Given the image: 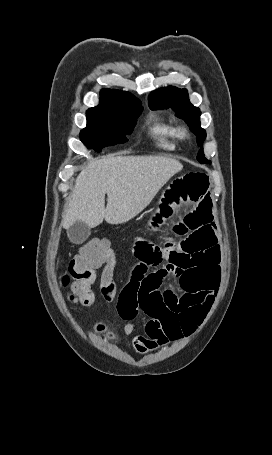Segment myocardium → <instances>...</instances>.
<instances>
[{
	"label": "myocardium",
	"instance_id": "myocardium-1",
	"mask_svg": "<svg viewBox=\"0 0 272 455\" xmlns=\"http://www.w3.org/2000/svg\"><path fill=\"white\" fill-rule=\"evenodd\" d=\"M177 134H178V138L180 139H185L188 137V130L185 128V127H178L177 128Z\"/></svg>",
	"mask_w": 272,
	"mask_h": 455
}]
</instances>
